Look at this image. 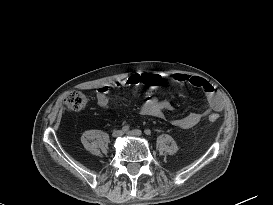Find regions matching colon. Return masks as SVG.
Segmentation results:
<instances>
[{"label": "colon", "instance_id": "5ec220e1", "mask_svg": "<svg viewBox=\"0 0 273 205\" xmlns=\"http://www.w3.org/2000/svg\"><path fill=\"white\" fill-rule=\"evenodd\" d=\"M88 102L87 94L82 90H72L68 92L63 99V103L66 109L70 111H79L85 108ZM217 114H211L209 120L211 122H216L218 120Z\"/></svg>", "mask_w": 273, "mask_h": 205}]
</instances>
